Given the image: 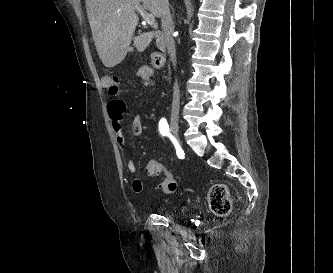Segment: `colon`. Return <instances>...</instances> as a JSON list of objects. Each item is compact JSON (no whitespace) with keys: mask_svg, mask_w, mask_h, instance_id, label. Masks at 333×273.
Masks as SVG:
<instances>
[{"mask_svg":"<svg viewBox=\"0 0 333 273\" xmlns=\"http://www.w3.org/2000/svg\"><path fill=\"white\" fill-rule=\"evenodd\" d=\"M165 57L160 52H155L150 57V65L154 68H162ZM104 88L112 95L119 92V79L117 76L105 77L102 81ZM145 168L149 176L159 179L158 187L165 194H171L176 190V181L173 174L162 162L151 158L146 161ZM208 203L210 209L219 216L230 213L232 204L226 185L217 183L211 186L208 192Z\"/></svg>","mask_w":333,"mask_h":273,"instance_id":"5ec220e1","label":"colon"}]
</instances>
